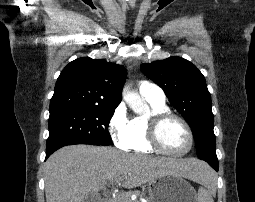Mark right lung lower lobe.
<instances>
[{
    "instance_id": "98d812e1",
    "label": "right lung lower lobe",
    "mask_w": 255,
    "mask_h": 202,
    "mask_svg": "<svg viewBox=\"0 0 255 202\" xmlns=\"http://www.w3.org/2000/svg\"><path fill=\"white\" fill-rule=\"evenodd\" d=\"M55 150L57 149L46 150V158L49 157Z\"/></svg>"
}]
</instances>
